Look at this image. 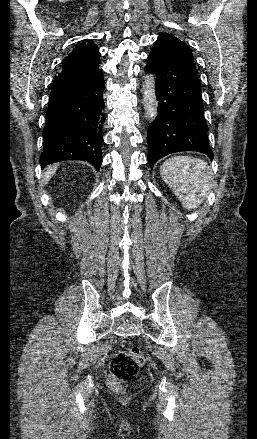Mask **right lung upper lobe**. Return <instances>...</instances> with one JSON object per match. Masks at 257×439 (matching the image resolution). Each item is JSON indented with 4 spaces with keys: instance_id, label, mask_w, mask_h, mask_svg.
Instances as JSON below:
<instances>
[{
    "instance_id": "obj_1",
    "label": "right lung upper lobe",
    "mask_w": 257,
    "mask_h": 439,
    "mask_svg": "<svg viewBox=\"0 0 257 439\" xmlns=\"http://www.w3.org/2000/svg\"><path fill=\"white\" fill-rule=\"evenodd\" d=\"M98 47L83 41L62 62V69L54 79L53 88L82 79L99 69Z\"/></svg>"
}]
</instances>
